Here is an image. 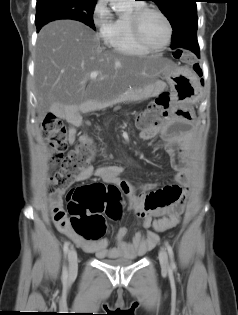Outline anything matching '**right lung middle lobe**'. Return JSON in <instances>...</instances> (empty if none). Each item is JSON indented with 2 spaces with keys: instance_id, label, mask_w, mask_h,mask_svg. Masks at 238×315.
<instances>
[{
  "instance_id": "dd1d6c3e",
  "label": "right lung middle lobe",
  "mask_w": 238,
  "mask_h": 315,
  "mask_svg": "<svg viewBox=\"0 0 238 315\" xmlns=\"http://www.w3.org/2000/svg\"><path fill=\"white\" fill-rule=\"evenodd\" d=\"M97 0H37L36 27L57 19H73L95 30L93 11Z\"/></svg>"
}]
</instances>
